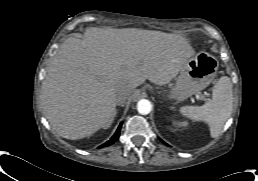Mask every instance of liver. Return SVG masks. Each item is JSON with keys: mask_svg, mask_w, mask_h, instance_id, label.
<instances>
[{"mask_svg": "<svg viewBox=\"0 0 258 181\" xmlns=\"http://www.w3.org/2000/svg\"><path fill=\"white\" fill-rule=\"evenodd\" d=\"M194 55L180 35L89 28L83 39H66L50 62L42 85L43 113L61 137L85 138L110 122L119 95L130 96L146 79L169 83Z\"/></svg>", "mask_w": 258, "mask_h": 181, "instance_id": "liver-1", "label": "liver"}]
</instances>
